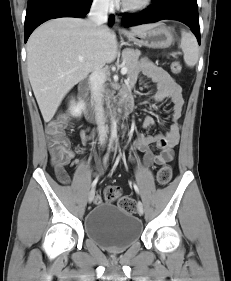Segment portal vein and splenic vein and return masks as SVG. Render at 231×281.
<instances>
[{"label":"portal vein and splenic vein","instance_id":"obj_1","mask_svg":"<svg viewBox=\"0 0 231 281\" xmlns=\"http://www.w3.org/2000/svg\"><path fill=\"white\" fill-rule=\"evenodd\" d=\"M80 60H82V59H80ZM127 68L126 67H123L122 69H121V74L122 75H125V74H127Z\"/></svg>","mask_w":231,"mask_h":281}]
</instances>
